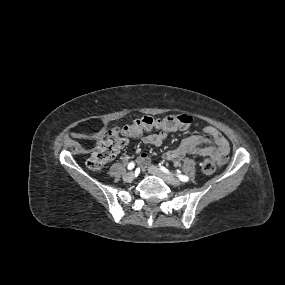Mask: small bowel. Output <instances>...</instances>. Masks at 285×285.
<instances>
[{"label":"small bowel","instance_id":"1","mask_svg":"<svg viewBox=\"0 0 285 285\" xmlns=\"http://www.w3.org/2000/svg\"><path fill=\"white\" fill-rule=\"evenodd\" d=\"M152 130H156V132H152ZM175 131L177 129L172 126H166L162 123L156 124L152 128L141 132V141L146 145L160 146L166 140L168 134ZM203 132L212 138L215 146H202L208 139L200 134H192L184 138L177 148L167 151L165 158L179 165L186 155L196 154L201 157L211 158L218 166L223 165L230 150L227 139L211 126L205 127ZM120 144H124V142ZM140 160L142 163H147L150 161V156L145 152H141Z\"/></svg>","mask_w":285,"mask_h":285}]
</instances>
